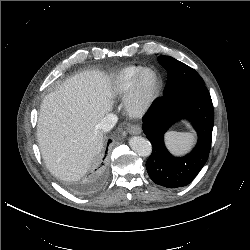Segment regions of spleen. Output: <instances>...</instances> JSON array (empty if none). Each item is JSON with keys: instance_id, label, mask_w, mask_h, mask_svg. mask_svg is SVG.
<instances>
[{"instance_id": "obj_1", "label": "spleen", "mask_w": 250, "mask_h": 250, "mask_svg": "<svg viewBox=\"0 0 250 250\" xmlns=\"http://www.w3.org/2000/svg\"><path fill=\"white\" fill-rule=\"evenodd\" d=\"M195 141L194 134L171 131L166 134L168 147L175 153H182L188 150Z\"/></svg>"}]
</instances>
